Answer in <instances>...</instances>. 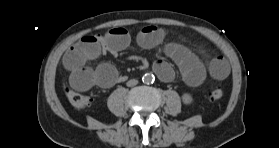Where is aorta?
I'll return each instance as SVG.
<instances>
[{
    "instance_id": "aorta-1",
    "label": "aorta",
    "mask_w": 279,
    "mask_h": 148,
    "mask_svg": "<svg viewBox=\"0 0 279 148\" xmlns=\"http://www.w3.org/2000/svg\"><path fill=\"white\" fill-rule=\"evenodd\" d=\"M155 78H154V75L152 74H145L143 77H142V81L146 84H150L152 82H154Z\"/></svg>"
}]
</instances>
